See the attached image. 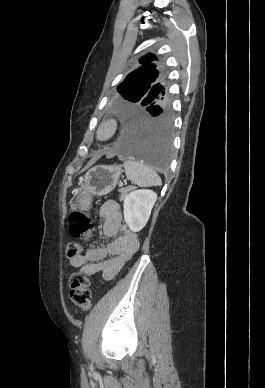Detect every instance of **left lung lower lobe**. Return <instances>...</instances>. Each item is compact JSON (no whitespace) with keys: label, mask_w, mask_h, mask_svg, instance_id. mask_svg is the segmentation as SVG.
Segmentation results:
<instances>
[{"label":"left lung lower lobe","mask_w":265,"mask_h":388,"mask_svg":"<svg viewBox=\"0 0 265 388\" xmlns=\"http://www.w3.org/2000/svg\"><path fill=\"white\" fill-rule=\"evenodd\" d=\"M120 132L112 148L123 157L141 161L156 170L168 168L172 147L169 105L120 109Z\"/></svg>","instance_id":"1"}]
</instances>
